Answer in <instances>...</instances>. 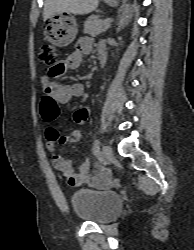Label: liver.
I'll return each mask as SVG.
<instances>
[{
  "label": "liver",
  "mask_w": 194,
  "mask_h": 250,
  "mask_svg": "<svg viewBox=\"0 0 194 250\" xmlns=\"http://www.w3.org/2000/svg\"><path fill=\"white\" fill-rule=\"evenodd\" d=\"M99 0H46L43 20L46 21L54 13L66 12L75 15L89 14L98 7Z\"/></svg>",
  "instance_id": "obj_1"
}]
</instances>
